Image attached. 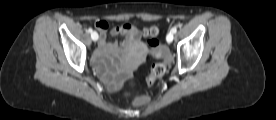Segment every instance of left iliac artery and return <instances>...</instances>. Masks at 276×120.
<instances>
[{
	"mask_svg": "<svg viewBox=\"0 0 276 120\" xmlns=\"http://www.w3.org/2000/svg\"><path fill=\"white\" fill-rule=\"evenodd\" d=\"M176 32H177V28H176V27H173V28L171 29V33L175 34Z\"/></svg>",
	"mask_w": 276,
	"mask_h": 120,
	"instance_id": "left-iliac-artery-1",
	"label": "left iliac artery"
}]
</instances>
